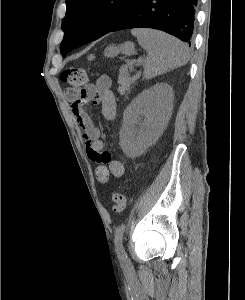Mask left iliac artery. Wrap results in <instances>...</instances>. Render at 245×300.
Listing matches in <instances>:
<instances>
[{
    "instance_id": "1",
    "label": "left iliac artery",
    "mask_w": 245,
    "mask_h": 300,
    "mask_svg": "<svg viewBox=\"0 0 245 300\" xmlns=\"http://www.w3.org/2000/svg\"><path fill=\"white\" fill-rule=\"evenodd\" d=\"M125 230V225L122 224L121 226H119L116 230V234H115V249L118 255V258L121 262L122 265H128V258H127V254L125 252V249L123 247V233Z\"/></svg>"
}]
</instances>
